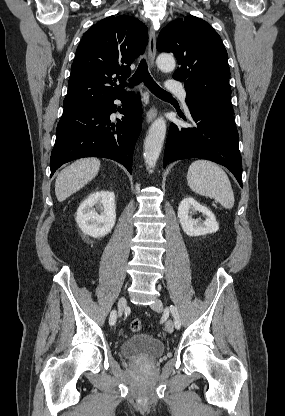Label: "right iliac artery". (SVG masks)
<instances>
[{"label":"right iliac artery","instance_id":"obj_1","mask_svg":"<svg viewBox=\"0 0 285 416\" xmlns=\"http://www.w3.org/2000/svg\"><path fill=\"white\" fill-rule=\"evenodd\" d=\"M116 322V311L112 310L110 317H109V324L114 325Z\"/></svg>","mask_w":285,"mask_h":416}]
</instances>
